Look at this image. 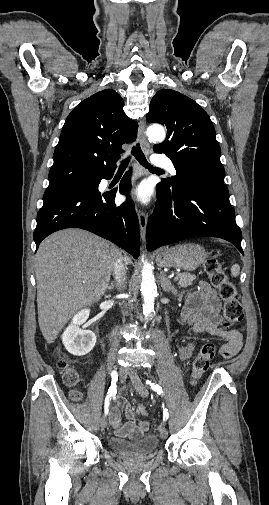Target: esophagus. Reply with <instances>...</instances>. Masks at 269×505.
<instances>
[{
  "mask_svg": "<svg viewBox=\"0 0 269 505\" xmlns=\"http://www.w3.org/2000/svg\"><path fill=\"white\" fill-rule=\"evenodd\" d=\"M138 134H139V139H140L143 149L146 152H149L150 144L146 138L145 122L143 120H141L139 123ZM137 215H138V220H139V228H140L141 238L143 241H145L148 216H147V213L141 209H137Z\"/></svg>",
  "mask_w": 269,
  "mask_h": 505,
  "instance_id": "34e87169",
  "label": "esophagus"
}]
</instances>
